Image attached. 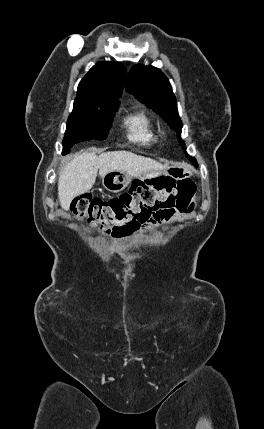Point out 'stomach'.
Segmentation results:
<instances>
[{"mask_svg":"<svg viewBox=\"0 0 264 429\" xmlns=\"http://www.w3.org/2000/svg\"><path fill=\"white\" fill-rule=\"evenodd\" d=\"M193 171L185 164H175L161 171H149L141 174V181H153L161 177H170L176 180L189 178ZM132 182V177L122 171H110L102 177L103 187L112 193H119Z\"/></svg>","mask_w":264,"mask_h":429,"instance_id":"0dacf381","label":"stomach"}]
</instances>
